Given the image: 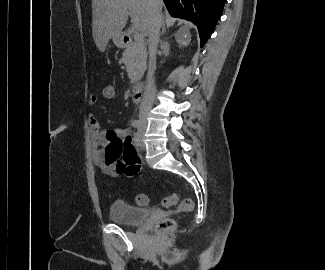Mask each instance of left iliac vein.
<instances>
[{"instance_id": "4c4485c4", "label": "left iliac vein", "mask_w": 325, "mask_h": 270, "mask_svg": "<svg viewBox=\"0 0 325 270\" xmlns=\"http://www.w3.org/2000/svg\"><path fill=\"white\" fill-rule=\"evenodd\" d=\"M144 133H145V126L141 125L138 131V136H139L138 148L141 150L145 148V144L143 141Z\"/></svg>"}]
</instances>
